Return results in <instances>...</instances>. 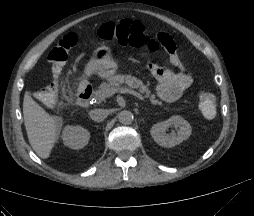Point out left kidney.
<instances>
[{"mask_svg":"<svg viewBox=\"0 0 254 216\" xmlns=\"http://www.w3.org/2000/svg\"><path fill=\"white\" fill-rule=\"evenodd\" d=\"M178 128L177 133H166L169 127ZM192 129L190 124L181 116H172L168 120L156 123L152 126L150 134L154 141L163 147H174L188 139Z\"/></svg>","mask_w":254,"mask_h":216,"instance_id":"obj_1","label":"left kidney"}]
</instances>
